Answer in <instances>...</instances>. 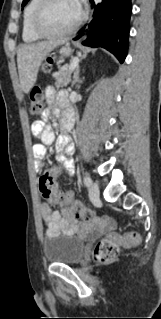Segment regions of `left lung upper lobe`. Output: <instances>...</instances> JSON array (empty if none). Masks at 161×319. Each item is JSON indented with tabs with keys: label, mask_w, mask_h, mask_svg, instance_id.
<instances>
[{
	"label": "left lung upper lobe",
	"mask_w": 161,
	"mask_h": 319,
	"mask_svg": "<svg viewBox=\"0 0 161 319\" xmlns=\"http://www.w3.org/2000/svg\"><path fill=\"white\" fill-rule=\"evenodd\" d=\"M29 0H24L22 6L26 5Z\"/></svg>",
	"instance_id": "left-lung-upper-lobe-1"
}]
</instances>
